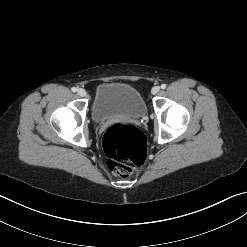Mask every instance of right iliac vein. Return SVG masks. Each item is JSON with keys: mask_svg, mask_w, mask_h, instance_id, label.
<instances>
[{"mask_svg": "<svg viewBox=\"0 0 247 247\" xmlns=\"http://www.w3.org/2000/svg\"><path fill=\"white\" fill-rule=\"evenodd\" d=\"M78 95L84 97L86 95V91L83 88H79L77 91Z\"/></svg>", "mask_w": 247, "mask_h": 247, "instance_id": "63e3f726", "label": "right iliac vein"}]
</instances>
